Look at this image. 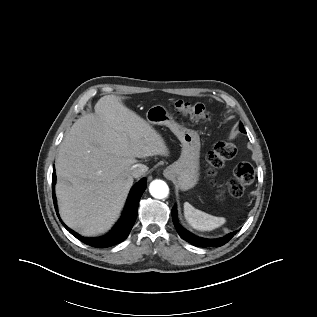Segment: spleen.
<instances>
[{"mask_svg":"<svg viewBox=\"0 0 317 317\" xmlns=\"http://www.w3.org/2000/svg\"><path fill=\"white\" fill-rule=\"evenodd\" d=\"M184 216L191 227L199 231H211L222 226L226 219L216 217L194 208L189 202L184 203Z\"/></svg>","mask_w":317,"mask_h":317,"instance_id":"spleen-1","label":"spleen"}]
</instances>
